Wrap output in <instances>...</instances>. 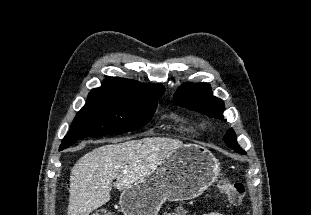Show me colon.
I'll return each instance as SVG.
<instances>
[{
	"label": "colon",
	"mask_w": 311,
	"mask_h": 215,
	"mask_svg": "<svg viewBox=\"0 0 311 215\" xmlns=\"http://www.w3.org/2000/svg\"><path fill=\"white\" fill-rule=\"evenodd\" d=\"M221 192L227 195L230 204L233 206H241L245 197V187L241 183H230L228 180H221L219 183ZM92 215H113L106 209H98ZM164 215H183L181 209L166 212Z\"/></svg>",
	"instance_id": "obj_1"
}]
</instances>
